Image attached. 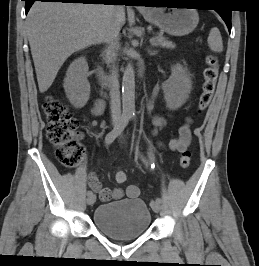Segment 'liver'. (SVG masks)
I'll list each match as a JSON object with an SVG mask.
<instances>
[{
    "mask_svg": "<svg viewBox=\"0 0 259 266\" xmlns=\"http://www.w3.org/2000/svg\"><path fill=\"white\" fill-rule=\"evenodd\" d=\"M110 5L35 2L27 16V35L38 87L47 91L65 60L76 51L104 41ZM125 23L124 7L118 13Z\"/></svg>",
    "mask_w": 259,
    "mask_h": 266,
    "instance_id": "liver-1",
    "label": "liver"
}]
</instances>
